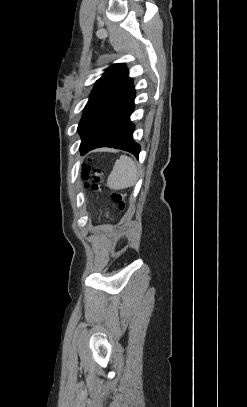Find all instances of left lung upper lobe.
Masks as SVG:
<instances>
[{"instance_id":"1","label":"left lung upper lobe","mask_w":247,"mask_h":407,"mask_svg":"<svg viewBox=\"0 0 247 407\" xmlns=\"http://www.w3.org/2000/svg\"><path fill=\"white\" fill-rule=\"evenodd\" d=\"M131 85L133 80L124 64H114L106 69L97 80L79 122L77 131L82 139L103 111Z\"/></svg>"}]
</instances>
